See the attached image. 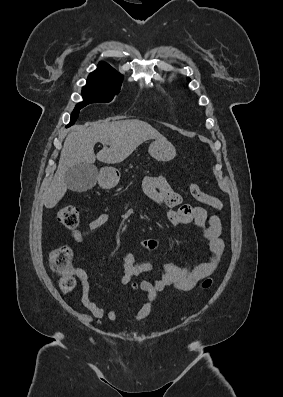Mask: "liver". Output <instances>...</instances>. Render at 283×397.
Wrapping results in <instances>:
<instances>
[{
  "instance_id": "6515ba94",
  "label": "liver",
  "mask_w": 283,
  "mask_h": 397,
  "mask_svg": "<svg viewBox=\"0 0 283 397\" xmlns=\"http://www.w3.org/2000/svg\"><path fill=\"white\" fill-rule=\"evenodd\" d=\"M148 139L165 138L150 124L138 119L96 122L89 127L74 126L64 141L57 171L45 195V207H55L65 195V173L71 166L81 163L92 165L96 159L106 164L120 163ZM97 142L103 144V149L95 155Z\"/></svg>"
}]
</instances>
